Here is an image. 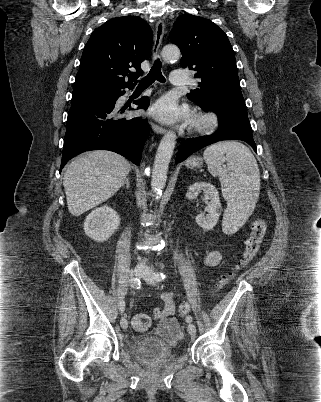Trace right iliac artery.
I'll list each match as a JSON object with an SVG mask.
<instances>
[{"label": "right iliac artery", "instance_id": "right-iliac-artery-1", "mask_svg": "<svg viewBox=\"0 0 321 402\" xmlns=\"http://www.w3.org/2000/svg\"><path fill=\"white\" fill-rule=\"evenodd\" d=\"M130 285H131V287H133L135 289H139L140 288V280L137 278H131ZM124 309H125V302L121 301L119 304V310L121 311V313H123Z\"/></svg>", "mask_w": 321, "mask_h": 402}]
</instances>
